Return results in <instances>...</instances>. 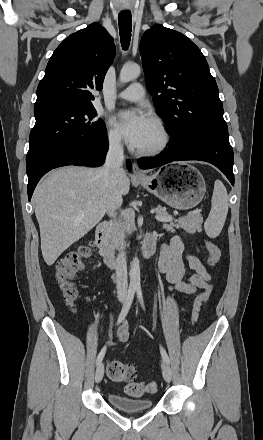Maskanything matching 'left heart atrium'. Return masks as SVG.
I'll use <instances>...</instances> for the list:
<instances>
[{
    "label": "left heart atrium",
    "instance_id": "39dd6f15",
    "mask_svg": "<svg viewBox=\"0 0 263 440\" xmlns=\"http://www.w3.org/2000/svg\"><path fill=\"white\" fill-rule=\"evenodd\" d=\"M151 123V118L139 110L121 111L117 116V126L123 137L137 146Z\"/></svg>",
    "mask_w": 263,
    "mask_h": 440
}]
</instances>
